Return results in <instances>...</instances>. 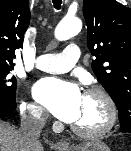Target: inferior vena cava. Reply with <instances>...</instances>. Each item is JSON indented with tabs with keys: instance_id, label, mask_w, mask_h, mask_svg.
<instances>
[{
	"instance_id": "1",
	"label": "inferior vena cava",
	"mask_w": 131,
	"mask_h": 151,
	"mask_svg": "<svg viewBox=\"0 0 131 151\" xmlns=\"http://www.w3.org/2000/svg\"><path fill=\"white\" fill-rule=\"evenodd\" d=\"M46 117L37 109H29L24 115L19 132L30 142H35L40 137V132L45 125Z\"/></svg>"
}]
</instances>
